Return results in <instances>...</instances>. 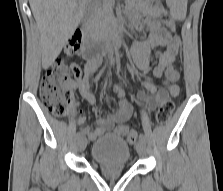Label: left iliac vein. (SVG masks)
Wrapping results in <instances>:
<instances>
[{
  "label": "left iliac vein",
  "instance_id": "1",
  "mask_svg": "<svg viewBox=\"0 0 223 191\" xmlns=\"http://www.w3.org/2000/svg\"><path fill=\"white\" fill-rule=\"evenodd\" d=\"M136 150H137V153L140 157H144L145 154H146V144L145 142L143 141H139L137 144H136Z\"/></svg>",
  "mask_w": 223,
  "mask_h": 191
}]
</instances>
